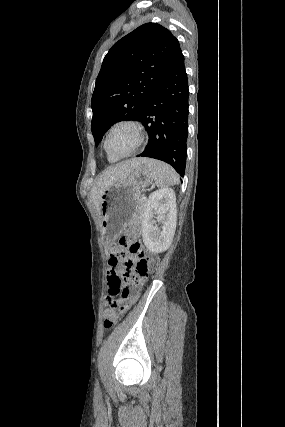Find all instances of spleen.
Returning <instances> with one entry per match:
<instances>
[{
  "label": "spleen",
  "instance_id": "3e777b00",
  "mask_svg": "<svg viewBox=\"0 0 285 427\" xmlns=\"http://www.w3.org/2000/svg\"><path fill=\"white\" fill-rule=\"evenodd\" d=\"M144 165L151 172L158 187L167 188L179 184V177L170 165L154 159H146Z\"/></svg>",
  "mask_w": 285,
  "mask_h": 427
}]
</instances>
